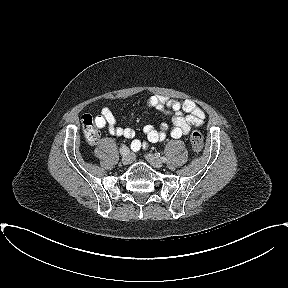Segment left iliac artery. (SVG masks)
<instances>
[{"label":"left iliac artery","instance_id":"44dca946","mask_svg":"<svg viewBox=\"0 0 288 288\" xmlns=\"http://www.w3.org/2000/svg\"><path fill=\"white\" fill-rule=\"evenodd\" d=\"M161 160L165 162L167 159L165 157H161Z\"/></svg>","mask_w":288,"mask_h":288}]
</instances>
